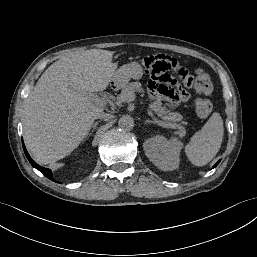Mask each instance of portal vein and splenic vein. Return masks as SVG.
Instances as JSON below:
<instances>
[{
  "label": "portal vein and splenic vein",
  "instance_id": "obj_1",
  "mask_svg": "<svg viewBox=\"0 0 257 257\" xmlns=\"http://www.w3.org/2000/svg\"><path fill=\"white\" fill-rule=\"evenodd\" d=\"M87 97H88L90 100H92V101H94V102H96V103H98V104H100V105H104V104L107 103L106 100H104V99L100 98L99 96L94 95V94H92V93H89V94L87 95ZM135 98H136V95H135V94H130V95L126 96V97L121 98V102H132V101L135 100ZM147 113H148L149 116L154 117L152 111H150L149 109H147ZM157 122H158V121H157ZM168 126H169L170 128H177V129H180L181 131H183V132H181V134L184 133V130H183L184 128H183L181 125H179V124L169 123Z\"/></svg>",
  "mask_w": 257,
  "mask_h": 257
}]
</instances>
